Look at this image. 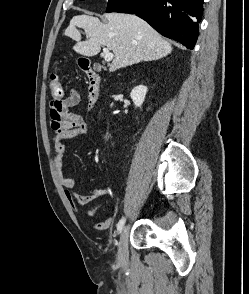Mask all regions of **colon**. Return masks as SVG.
Wrapping results in <instances>:
<instances>
[{
    "label": "colon",
    "mask_w": 249,
    "mask_h": 294,
    "mask_svg": "<svg viewBox=\"0 0 249 294\" xmlns=\"http://www.w3.org/2000/svg\"><path fill=\"white\" fill-rule=\"evenodd\" d=\"M50 92L54 101H60L64 95V89L59 73H53L50 79Z\"/></svg>",
    "instance_id": "colon-1"
}]
</instances>
